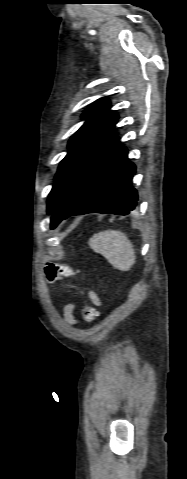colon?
I'll use <instances>...</instances> for the list:
<instances>
[{"mask_svg": "<svg viewBox=\"0 0 187 479\" xmlns=\"http://www.w3.org/2000/svg\"><path fill=\"white\" fill-rule=\"evenodd\" d=\"M71 272V268L62 264L48 263L45 266V274L50 282H53L61 277L68 276L71 274ZM97 314V310L91 304H85L83 306L82 315L86 323H92L96 319Z\"/></svg>", "mask_w": 187, "mask_h": 479, "instance_id": "5ec220e1", "label": "colon"}]
</instances>
